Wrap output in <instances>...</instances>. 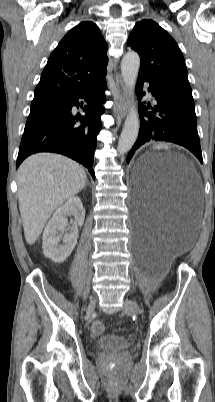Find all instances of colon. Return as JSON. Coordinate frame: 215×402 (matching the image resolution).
<instances>
[{"instance_id": "obj_1", "label": "colon", "mask_w": 215, "mask_h": 402, "mask_svg": "<svg viewBox=\"0 0 215 402\" xmlns=\"http://www.w3.org/2000/svg\"><path fill=\"white\" fill-rule=\"evenodd\" d=\"M104 324L100 321H96L92 324L91 330L94 335H100L104 332Z\"/></svg>"}]
</instances>
